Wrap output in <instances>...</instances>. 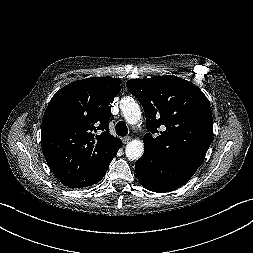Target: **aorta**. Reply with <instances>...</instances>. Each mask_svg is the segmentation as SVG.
<instances>
[{"mask_svg": "<svg viewBox=\"0 0 253 253\" xmlns=\"http://www.w3.org/2000/svg\"><path fill=\"white\" fill-rule=\"evenodd\" d=\"M120 109L123 113L125 120L131 124L135 125L140 121L141 110L138 103L131 97L124 98L120 101ZM144 152V144L140 140L130 141L125 149L126 157L129 160L139 159Z\"/></svg>", "mask_w": 253, "mask_h": 253, "instance_id": "obj_1", "label": "aorta"}]
</instances>
